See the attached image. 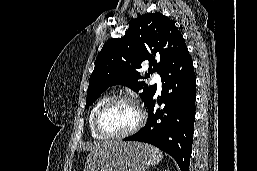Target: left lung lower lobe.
<instances>
[{
  "mask_svg": "<svg viewBox=\"0 0 257 171\" xmlns=\"http://www.w3.org/2000/svg\"><path fill=\"white\" fill-rule=\"evenodd\" d=\"M162 92L146 104L148 120L138 133L124 141L150 143L171 155L181 171H188L195 116V73L187 47L172 53L162 69ZM163 105L161 108L157 107Z\"/></svg>",
  "mask_w": 257,
  "mask_h": 171,
  "instance_id": "left-lung-lower-lobe-1",
  "label": "left lung lower lobe"
}]
</instances>
